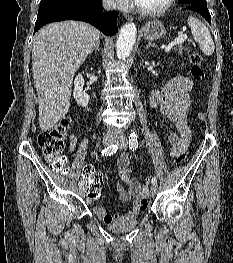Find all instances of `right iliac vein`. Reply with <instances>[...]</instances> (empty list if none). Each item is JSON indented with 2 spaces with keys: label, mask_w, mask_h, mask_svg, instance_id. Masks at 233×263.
I'll return each mask as SVG.
<instances>
[{
  "label": "right iliac vein",
  "mask_w": 233,
  "mask_h": 263,
  "mask_svg": "<svg viewBox=\"0 0 233 263\" xmlns=\"http://www.w3.org/2000/svg\"><path fill=\"white\" fill-rule=\"evenodd\" d=\"M117 138L111 134H107L104 138H103V144L106 146L112 145L114 143H116ZM79 193L81 196H84L86 193V189L85 187H80L79 188Z\"/></svg>",
  "instance_id": "1"
}]
</instances>
